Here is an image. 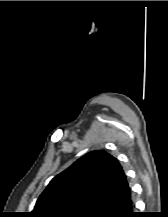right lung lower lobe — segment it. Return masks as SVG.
Returning a JSON list of instances; mask_svg holds the SVG:
<instances>
[{"label": "right lung lower lobe", "instance_id": "98d812e1", "mask_svg": "<svg viewBox=\"0 0 168 217\" xmlns=\"http://www.w3.org/2000/svg\"><path fill=\"white\" fill-rule=\"evenodd\" d=\"M133 209H134L133 201L130 198L125 203L119 205L118 207L114 208L112 211L103 215V217H139L140 215L134 212Z\"/></svg>", "mask_w": 168, "mask_h": 217}]
</instances>
